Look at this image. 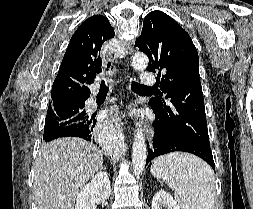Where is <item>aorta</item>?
I'll use <instances>...</instances> for the list:
<instances>
[{"label":"aorta","instance_id":"1","mask_svg":"<svg viewBox=\"0 0 253 209\" xmlns=\"http://www.w3.org/2000/svg\"><path fill=\"white\" fill-rule=\"evenodd\" d=\"M133 67L138 71H143L148 66V57L145 54H135L132 59ZM137 130L134 136L132 147V165L133 173L135 176H140L144 171L147 157L146 140L144 137L143 129L140 124H137ZM116 151L117 148L113 146Z\"/></svg>","mask_w":253,"mask_h":209}]
</instances>
